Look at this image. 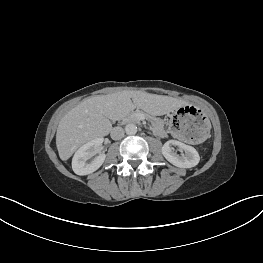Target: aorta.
Here are the masks:
<instances>
[{
	"label": "aorta",
	"instance_id": "obj_1",
	"mask_svg": "<svg viewBox=\"0 0 263 263\" xmlns=\"http://www.w3.org/2000/svg\"><path fill=\"white\" fill-rule=\"evenodd\" d=\"M125 132L128 135H135L137 133V126L133 123H129L125 126Z\"/></svg>",
	"mask_w": 263,
	"mask_h": 263
}]
</instances>
